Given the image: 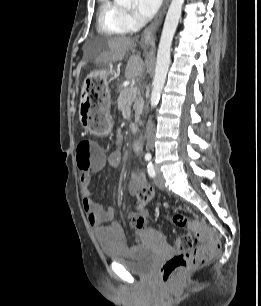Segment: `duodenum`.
<instances>
[{"instance_id":"410a0bca","label":"duodenum","mask_w":261,"mask_h":306,"mask_svg":"<svg viewBox=\"0 0 261 306\" xmlns=\"http://www.w3.org/2000/svg\"><path fill=\"white\" fill-rule=\"evenodd\" d=\"M133 146V149L136 151V152H140L143 148V143H142V140L141 139H137L133 142L132 144Z\"/></svg>"}]
</instances>
